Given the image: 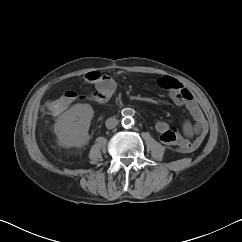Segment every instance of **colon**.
Masks as SVG:
<instances>
[{
  "label": "colon",
  "mask_w": 242,
  "mask_h": 242,
  "mask_svg": "<svg viewBox=\"0 0 242 242\" xmlns=\"http://www.w3.org/2000/svg\"><path fill=\"white\" fill-rule=\"evenodd\" d=\"M97 77L92 75L90 80L94 81L96 80ZM67 94L63 95L62 97L58 98V99H53L50 100L46 103V108L48 110V112L52 113V114H59L61 112H63L66 107L68 106V102L66 101L67 98ZM110 97L109 93L107 91L101 90L98 93L95 92V98L97 100H106Z\"/></svg>",
  "instance_id": "5ec220e1"
}]
</instances>
